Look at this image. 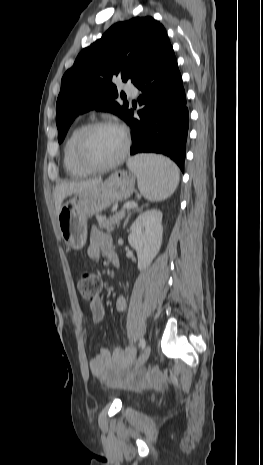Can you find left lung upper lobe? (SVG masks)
<instances>
[{"label": "left lung upper lobe", "mask_w": 263, "mask_h": 465, "mask_svg": "<svg viewBox=\"0 0 263 465\" xmlns=\"http://www.w3.org/2000/svg\"><path fill=\"white\" fill-rule=\"evenodd\" d=\"M169 42L162 24L152 17L118 22L83 49L61 81L56 104L58 141L61 143L75 117L90 109L109 111L126 119L128 103L115 101L112 79L133 84Z\"/></svg>", "instance_id": "obj_1"}]
</instances>
